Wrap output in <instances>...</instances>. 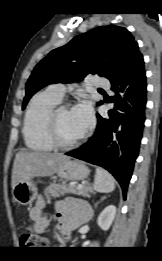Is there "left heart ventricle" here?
<instances>
[{
    "label": "left heart ventricle",
    "mask_w": 162,
    "mask_h": 261,
    "mask_svg": "<svg viewBox=\"0 0 162 261\" xmlns=\"http://www.w3.org/2000/svg\"><path fill=\"white\" fill-rule=\"evenodd\" d=\"M57 127L60 138L65 142H72L83 134L70 110H62L59 113Z\"/></svg>",
    "instance_id": "1"
}]
</instances>
